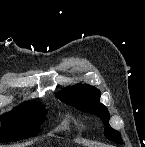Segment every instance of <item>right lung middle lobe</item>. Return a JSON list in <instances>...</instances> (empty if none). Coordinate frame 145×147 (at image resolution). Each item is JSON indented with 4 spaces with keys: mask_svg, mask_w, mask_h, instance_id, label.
<instances>
[{
    "mask_svg": "<svg viewBox=\"0 0 145 147\" xmlns=\"http://www.w3.org/2000/svg\"><path fill=\"white\" fill-rule=\"evenodd\" d=\"M47 110L39 103L24 102L13 111L4 114L0 128V142H13L35 136L45 120Z\"/></svg>",
    "mask_w": 145,
    "mask_h": 147,
    "instance_id": "right-lung-middle-lobe-1",
    "label": "right lung middle lobe"
}]
</instances>
